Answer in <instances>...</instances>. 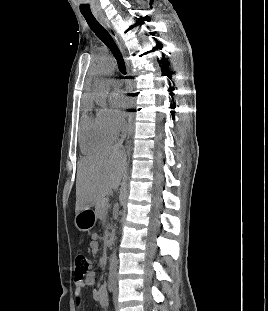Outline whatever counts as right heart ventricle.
Segmentation results:
<instances>
[{
  "instance_id": "right-heart-ventricle-1",
  "label": "right heart ventricle",
  "mask_w": 268,
  "mask_h": 311,
  "mask_svg": "<svg viewBox=\"0 0 268 311\" xmlns=\"http://www.w3.org/2000/svg\"><path fill=\"white\" fill-rule=\"evenodd\" d=\"M117 134L111 131L99 113L83 115L79 129V143L82 151L92 154L106 149L116 140Z\"/></svg>"
}]
</instances>
